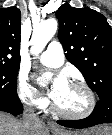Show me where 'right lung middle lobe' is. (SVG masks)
<instances>
[{
    "instance_id": "dd1d6c3e",
    "label": "right lung middle lobe",
    "mask_w": 112,
    "mask_h": 135,
    "mask_svg": "<svg viewBox=\"0 0 112 135\" xmlns=\"http://www.w3.org/2000/svg\"><path fill=\"white\" fill-rule=\"evenodd\" d=\"M20 63H0V100L20 102L16 81Z\"/></svg>"
}]
</instances>
